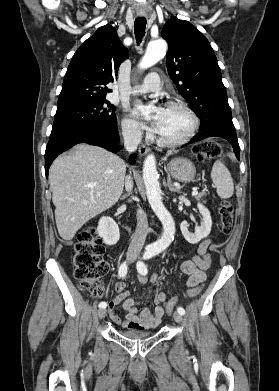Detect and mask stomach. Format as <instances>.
<instances>
[{
    "label": "stomach",
    "instance_id": "0dacf381",
    "mask_svg": "<svg viewBox=\"0 0 279 391\" xmlns=\"http://www.w3.org/2000/svg\"><path fill=\"white\" fill-rule=\"evenodd\" d=\"M166 170L175 180L190 182L194 179L196 168L194 164L186 158H175L167 164Z\"/></svg>",
    "mask_w": 279,
    "mask_h": 391
}]
</instances>
